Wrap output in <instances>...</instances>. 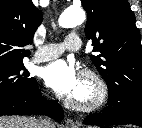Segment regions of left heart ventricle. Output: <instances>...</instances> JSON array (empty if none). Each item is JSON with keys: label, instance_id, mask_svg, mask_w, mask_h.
Masks as SVG:
<instances>
[{"label": "left heart ventricle", "instance_id": "obj_1", "mask_svg": "<svg viewBox=\"0 0 142 128\" xmlns=\"http://www.w3.org/2000/svg\"><path fill=\"white\" fill-rule=\"evenodd\" d=\"M90 88L83 81H81V85L77 92L73 95L81 100L87 99L90 96Z\"/></svg>", "mask_w": 142, "mask_h": 128}]
</instances>
